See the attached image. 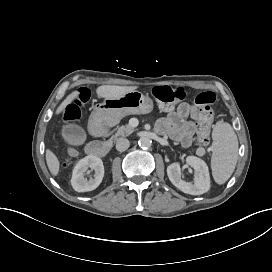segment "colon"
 <instances>
[{
	"label": "colon",
	"mask_w": 272,
	"mask_h": 272,
	"mask_svg": "<svg viewBox=\"0 0 272 272\" xmlns=\"http://www.w3.org/2000/svg\"><path fill=\"white\" fill-rule=\"evenodd\" d=\"M153 94L156 100L162 103L175 102L182 98V92L179 89H173L167 86H158L154 88ZM89 100V91L86 88L79 90L78 96L70 101L64 110L63 120L67 125H75L81 118V109ZM195 105L198 108L199 142L207 145L209 142V131L214 121L213 105L216 102V94L211 91L201 92L195 98ZM69 158H73L72 155Z\"/></svg>",
	"instance_id": "5ec220e1"
}]
</instances>
